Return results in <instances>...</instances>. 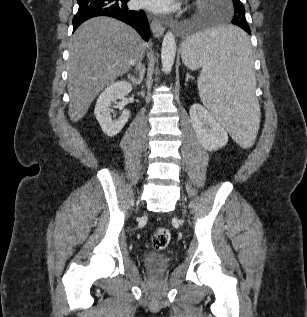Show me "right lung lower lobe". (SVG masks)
<instances>
[{
  "mask_svg": "<svg viewBox=\"0 0 307 317\" xmlns=\"http://www.w3.org/2000/svg\"><path fill=\"white\" fill-rule=\"evenodd\" d=\"M129 0H78L79 9L73 18V31L84 21L96 16H110L132 26L144 40L150 38V28L144 11L127 7Z\"/></svg>",
  "mask_w": 307,
  "mask_h": 317,
  "instance_id": "obj_1",
  "label": "right lung lower lobe"
}]
</instances>
